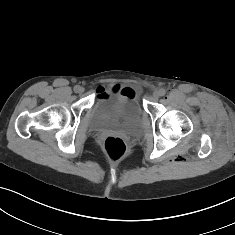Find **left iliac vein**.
<instances>
[{"label":"left iliac vein","instance_id":"4c4485c4","mask_svg":"<svg viewBox=\"0 0 235 235\" xmlns=\"http://www.w3.org/2000/svg\"><path fill=\"white\" fill-rule=\"evenodd\" d=\"M160 96H161L160 90H155V91L153 92V98H154V99H158Z\"/></svg>","mask_w":235,"mask_h":235}]
</instances>
